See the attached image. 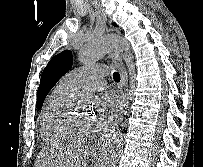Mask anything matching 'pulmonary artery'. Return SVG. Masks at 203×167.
<instances>
[{
	"instance_id": "pulmonary-artery-1",
	"label": "pulmonary artery",
	"mask_w": 203,
	"mask_h": 167,
	"mask_svg": "<svg viewBox=\"0 0 203 167\" xmlns=\"http://www.w3.org/2000/svg\"><path fill=\"white\" fill-rule=\"evenodd\" d=\"M107 68L104 65H89L73 69L63 76L61 82L74 89L95 90L104 86Z\"/></svg>"
}]
</instances>
